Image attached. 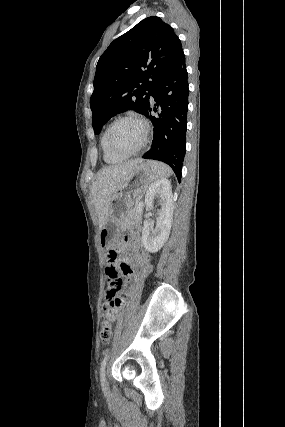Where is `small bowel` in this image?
Segmentation results:
<instances>
[{
	"instance_id": "obj_1",
	"label": "small bowel",
	"mask_w": 285,
	"mask_h": 427,
	"mask_svg": "<svg viewBox=\"0 0 285 427\" xmlns=\"http://www.w3.org/2000/svg\"><path fill=\"white\" fill-rule=\"evenodd\" d=\"M139 231H140L139 226L134 227L133 230L131 231L132 238H131L130 242H131V246H132L133 256L130 260L135 262L136 264H142V263L148 264L150 262V258H149L147 253H145L141 250L140 241H139ZM124 261H127V260L125 259ZM121 264H122V262L119 261V262L115 263V266L121 267ZM108 290H109V288H108ZM110 292L114 298L121 299V303H120V306L118 308V314L115 318V320H116L119 318L121 312L124 310V307L126 306V301L122 297L123 290L121 288L110 289Z\"/></svg>"
}]
</instances>
